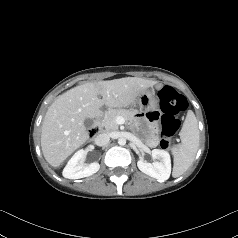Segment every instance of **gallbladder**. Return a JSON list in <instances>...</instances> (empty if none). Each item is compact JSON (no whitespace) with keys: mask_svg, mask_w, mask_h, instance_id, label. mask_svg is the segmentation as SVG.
Returning a JSON list of instances; mask_svg holds the SVG:
<instances>
[{"mask_svg":"<svg viewBox=\"0 0 238 238\" xmlns=\"http://www.w3.org/2000/svg\"><path fill=\"white\" fill-rule=\"evenodd\" d=\"M92 124H93L92 119H90V118L85 119L84 125H85L86 128H90L92 126Z\"/></svg>","mask_w":238,"mask_h":238,"instance_id":"obj_1","label":"gallbladder"}]
</instances>
